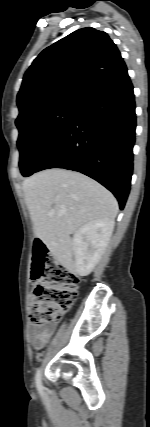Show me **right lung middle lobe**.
Wrapping results in <instances>:
<instances>
[{
	"label": "right lung middle lobe",
	"instance_id": "right-lung-middle-lobe-1",
	"mask_svg": "<svg viewBox=\"0 0 150 427\" xmlns=\"http://www.w3.org/2000/svg\"><path fill=\"white\" fill-rule=\"evenodd\" d=\"M78 106L50 105L36 108L17 118L20 170L28 177L35 172L48 151L72 121Z\"/></svg>",
	"mask_w": 150,
	"mask_h": 427
}]
</instances>
